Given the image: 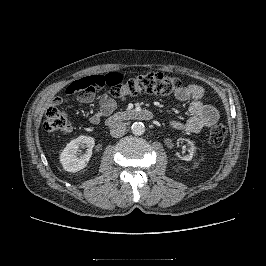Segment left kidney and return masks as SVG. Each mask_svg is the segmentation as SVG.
I'll use <instances>...</instances> for the list:
<instances>
[{
	"mask_svg": "<svg viewBox=\"0 0 266 266\" xmlns=\"http://www.w3.org/2000/svg\"><path fill=\"white\" fill-rule=\"evenodd\" d=\"M180 140H184V139H180ZM188 142H189L190 145H191V148H190V150L188 151L189 153H188L187 155L183 156V157L180 156V158H181L182 160H185V161H190V160H192V158H193V153H194V146H193L192 142H191V141H188Z\"/></svg>",
	"mask_w": 266,
	"mask_h": 266,
	"instance_id": "5707ae66",
	"label": "left kidney"
}]
</instances>
